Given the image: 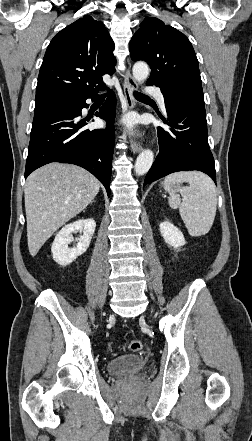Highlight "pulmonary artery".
<instances>
[{"label":"pulmonary artery","mask_w":252,"mask_h":441,"mask_svg":"<svg viewBox=\"0 0 252 441\" xmlns=\"http://www.w3.org/2000/svg\"><path fill=\"white\" fill-rule=\"evenodd\" d=\"M145 93L148 95H153L157 98L160 106L165 109V101H164V97L163 94L161 93V91L158 88H154V87H147L145 89Z\"/></svg>","instance_id":"pulmonary-artery-1"}]
</instances>
